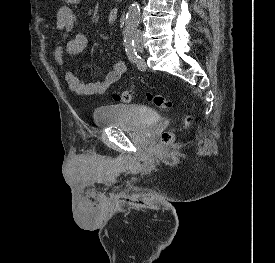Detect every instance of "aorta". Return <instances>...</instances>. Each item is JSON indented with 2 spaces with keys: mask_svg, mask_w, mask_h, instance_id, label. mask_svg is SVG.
I'll list each match as a JSON object with an SVG mask.
<instances>
[{
  "mask_svg": "<svg viewBox=\"0 0 275 263\" xmlns=\"http://www.w3.org/2000/svg\"><path fill=\"white\" fill-rule=\"evenodd\" d=\"M140 20V6L139 3L134 1L130 4L126 14V26L136 28Z\"/></svg>",
  "mask_w": 275,
  "mask_h": 263,
  "instance_id": "1",
  "label": "aorta"
}]
</instances>
